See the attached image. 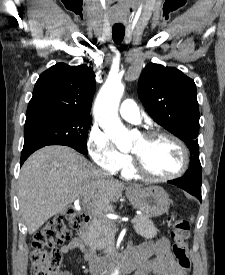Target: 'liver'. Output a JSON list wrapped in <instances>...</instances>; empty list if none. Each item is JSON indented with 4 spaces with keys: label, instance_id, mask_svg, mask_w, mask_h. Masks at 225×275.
Wrapping results in <instances>:
<instances>
[{
    "label": "liver",
    "instance_id": "liver-1",
    "mask_svg": "<svg viewBox=\"0 0 225 275\" xmlns=\"http://www.w3.org/2000/svg\"><path fill=\"white\" fill-rule=\"evenodd\" d=\"M124 184L95 168L74 149L45 146L23 164L18 181L20 212L29 234L63 212L75 199L92 198L101 211L113 210Z\"/></svg>",
    "mask_w": 225,
    "mask_h": 275
}]
</instances>
